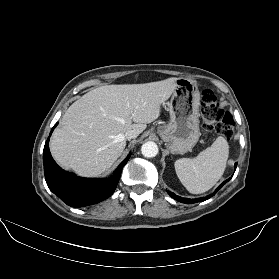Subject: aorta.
I'll list each match as a JSON object with an SVG mask.
<instances>
[{
	"mask_svg": "<svg viewBox=\"0 0 279 279\" xmlns=\"http://www.w3.org/2000/svg\"><path fill=\"white\" fill-rule=\"evenodd\" d=\"M158 146L155 142L148 141L144 143L141 147V152L143 156L147 158L155 157L158 154Z\"/></svg>",
	"mask_w": 279,
	"mask_h": 279,
	"instance_id": "obj_1",
	"label": "aorta"
}]
</instances>
